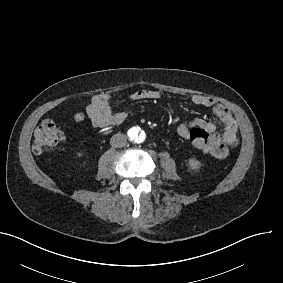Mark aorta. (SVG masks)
<instances>
[{"label": "aorta", "instance_id": "aorta-1", "mask_svg": "<svg viewBox=\"0 0 283 283\" xmlns=\"http://www.w3.org/2000/svg\"><path fill=\"white\" fill-rule=\"evenodd\" d=\"M128 137L134 143H143L146 139V133L140 127L134 126L128 130Z\"/></svg>", "mask_w": 283, "mask_h": 283}]
</instances>
